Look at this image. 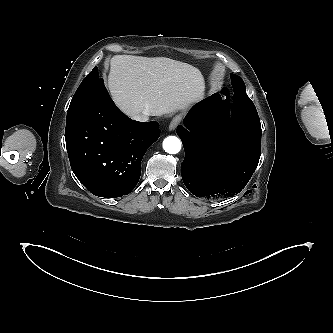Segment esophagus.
Wrapping results in <instances>:
<instances>
[{"label": "esophagus", "instance_id": "34e87169", "mask_svg": "<svg viewBox=\"0 0 333 333\" xmlns=\"http://www.w3.org/2000/svg\"><path fill=\"white\" fill-rule=\"evenodd\" d=\"M182 120V116L181 115H176L175 117H173V119L171 120L168 129L170 131L175 130V128L180 124Z\"/></svg>", "mask_w": 333, "mask_h": 333}]
</instances>
